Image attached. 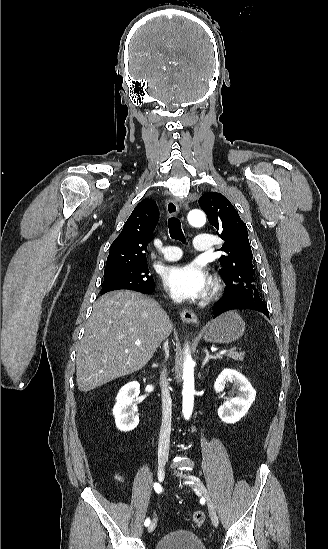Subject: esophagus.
I'll return each instance as SVG.
<instances>
[{
  "label": "esophagus",
  "mask_w": 328,
  "mask_h": 549,
  "mask_svg": "<svg viewBox=\"0 0 328 549\" xmlns=\"http://www.w3.org/2000/svg\"><path fill=\"white\" fill-rule=\"evenodd\" d=\"M178 202L176 199H169L166 202V212L169 217H174L178 214ZM182 320L188 324H196L198 322L197 315L190 309H184L180 312Z\"/></svg>",
  "instance_id": "1"
}]
</instances>
